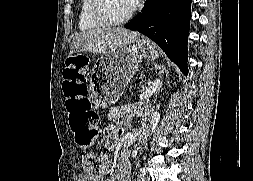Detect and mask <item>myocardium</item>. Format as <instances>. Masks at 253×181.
Segmentation results:
<instances>
[{"label": "myocardium", "instance_id": "obj_1", "mask_svg": "<svg viewBox=\"0 0 253 181\" xmlns=\"http://www.w3.org/2000/svg\"><path fill=\"white\" fill-rule=\"evenodd\" d=\"M107 0H93L91 7V14L95 21L103 26L115 27L120 26L128 22L134 15V9L126 14L121 19L111 18L106 11Z\"/></svg>", "mask_w": 253, "mask_h": 181}]
</instances>
